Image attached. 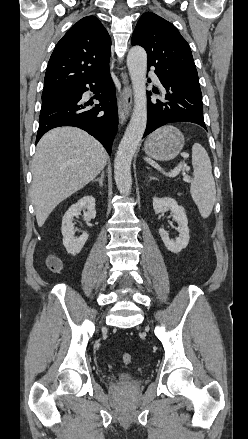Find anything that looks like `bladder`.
I'll list each match as a JSON object with an SVG mask.
<instances>
[{"label": "bladder", "instance_id": "1", "mask_svg": "<svg viewBox=\"0 0 248 439\" xmlns=\"http://www.w3.org/2000/svg\"><path fill=\"white\" fill-rule=\"evenodd\" d=\"M136 380V375L131 373H123L119 376L117 383L119 384H131Z\"/></svg>", "mask_w": 248, "mask_h": 439}]
</instances>
